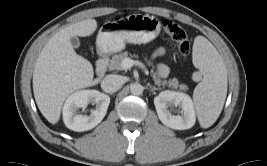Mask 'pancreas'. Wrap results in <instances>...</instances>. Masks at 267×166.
<instances>
[{"mask_svg":"<svg viewBox=\"0 0 267 166\" xmlns=\"http://www.w3.org/2000/svg\"><path fill=\"white\" fill-rule=\"evenodd\" d=\"M129 56V53L127 51L123 53H119L116 55H113L110 63H109V69L111 70H123L124 68L122 67V61ZM154 82L157 86L161 85H168L169 87L173 89L179 88L182 91H186L188 89V86L186 84H179V81L177 79H172L167 81H161L159 78L153 75Z\"/></svg>","mask_w":267,"mask_h":166,"instance_id":"cf45deb5","label":"pancreas"}]
</instances>
